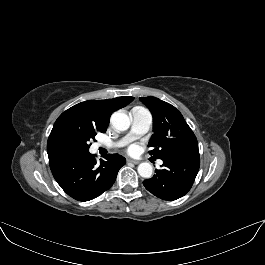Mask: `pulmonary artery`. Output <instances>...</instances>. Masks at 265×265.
<instances>
[{"label":"pulmonary artery","mask_w":265,"mask_h":265,"mask_svg":"<svg viewBox=\"0 0 265 265\" xmlns=\"http://www.w3.org/2000/svg\"><path fill=\"white\" fill-rule=\"evenodd\" d=\"M131 117V129L128 134L114 143L112 146L120 147L133 140L139 135L146 133L151 125V115L150 113L143 107H135L130 112ZM100 147H110L108 145H104L99 143ZM162 162L159 161V164Z\"/></svg>","instance_id":"e3ab8cb5"}]
</instances>
